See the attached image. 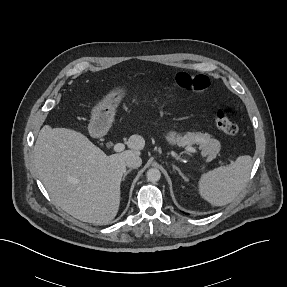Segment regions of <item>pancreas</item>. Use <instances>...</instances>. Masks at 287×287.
Here are the masks:
<instances>
[{"label": "pancreas", "instance_id": "1", "mask_svg": "<svg viewBox=\"0 0 287 287\" xmlns=\"http://www.w3.org/2000/svg\"><path fill=\"white\" fill-rule=\"evenodd\" d=\"M177 143L179 145H193L195 143L199 144L200 149L204 155H208L209 159L216 157L217 153L220 151V142L208 133H186L183 137L178 138Z\"/></svg>", "mask_w": 287, "mask_h": 287}]
</instances>
